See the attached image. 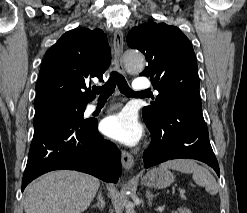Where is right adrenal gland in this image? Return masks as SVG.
Here are the masks:
<instances>
[{
  "instance_id": "obj_1",
  "label": "right adrenal gland",
  "mask_w": 247,
  "mask_h": 213,
  "mask_svg": "<svg viewBox=\"0 0 247 213\" xmlns=\"http://www.w3.org/2000/svg\"><path fill=\"white\" fill-rule=\"evenodd\" d=\"M105 201L103 199V195H102V192L101 190L98 191V195H97V203L95 205H93V207H97L99 208L100 210H104L105 208Z\"/></svg>"
}]
</instances>
